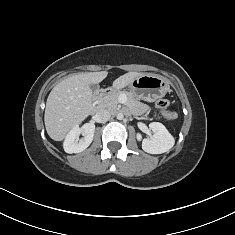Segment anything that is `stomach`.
I'll return each mask as SVG.
<instances>
[{
    "mask_svg": "<svg viewBox=\"0 0 235 235\" xmlns=\"http://www.w3.org/2000/svg\"><path fill=\"white\" fill-rule=\"evenodd\" d=\"M128 88L134 98L152 102L165 96L169 89V84L160 75L144 74L133 80Z\"/></svg>",
    "mask_w": 235,
    "mask_h": 235,
    "instance_id": "1",
    "label": "stomach"
}]
</instances>
